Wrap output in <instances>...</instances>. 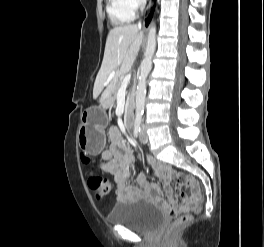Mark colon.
I'll return each mask as SVG.
<instances>
[{
    "label": "colon",
    "instance_id": "obj_1",
    "mask_svg": "<svg viewBox=\"0 0 264 247\" xmlns=\"http://www.w3.org/2000/svg\"><path fill=\"white\" fill-rule=\"evenodd\" d=\"M86 159L89 160L87 157ZM87 176L89 186L93 190L95 198L97 200H104L111 190L109 181L92 171H89ZM177 183L180 188L188 187L194 191L191 195L184 196L181 201L175 202L172 205L170 215L174 220L169 228L171 232L188 223L191 213L197 210L202 202V195L200 194L197 182L192 177L179 175Z\"/></svg>",
    "mask_w": 264,
    "mask_h": 247
}]
</instances>
